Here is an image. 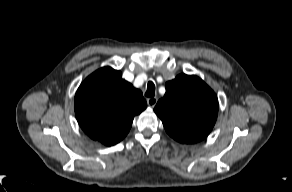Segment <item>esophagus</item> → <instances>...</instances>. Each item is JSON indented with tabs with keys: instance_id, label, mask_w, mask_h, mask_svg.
Wrapping results in <instances>:
<instances>
[{
	"instance_id": "obj_1",
	"label": "esophagus",
	"mask_w": 292,
	"mask_h": 192,
	"mask_svg": "<svg viewBox=\"0 0 292 192\" xmlns=\"http://www.w3.org/2000/svg\"><path fill=\"white\" fill-rule=\"evenodd\" d=\"M157 101H158L157 97L147 98V104L149 107H154L156 105Z\"/></svg>"
}]
</instances>
